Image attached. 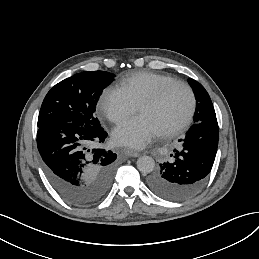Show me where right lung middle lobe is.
I'll list each match as a JSON object with an SVG mask.
<instances>
[{
	"mask_svg": "<svg viewBox=\"0 0 259 259\" xmlns=\"http://www.w3.org/2000/svg\"><path fill=\"white\" fill-rule=\"evenodd\" d=\"M114 76L106 71L82 72L56 84L43 100L38 128L56 122H72L86 128L101 126L94 114L96 104Z\"/></svg>",
	"mask_w": 259,
	"mask_h": 259,
	"instance_id": "obj_1",
	"label": "right lung middle lobe"
}]
</instances>
